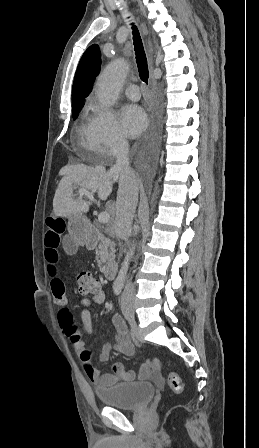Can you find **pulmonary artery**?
Wrapping results in <instances>:
<instances>
[{
    "label": "pulmonary artery",
    "instance_id": "obj_1",
    "mask_svg": "<svg viewBox=\"0 0 259 448\" xmlns=\"http://www.w3.org/2000/svg\"><path fill=\"white\" fill-rule=\"evenodd\" d=\"M116 64L120 70V72H122L123 74H126L129 70L130 67V63L127 59H119L116 61ZM138 87L135 84H130L128 86H124L122 87L121 91L131 100H138L140 98V94L138 92H136L135 90H137Z\"/></svg>",
    "mask_w": 259,
    "mask_h": 448
}]
</instances>
